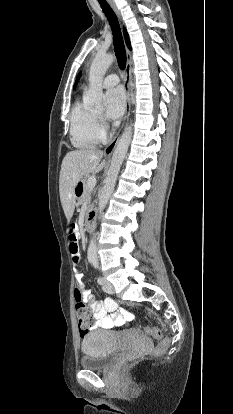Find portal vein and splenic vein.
<instances>
[{
    "label": "portal vein and splenic vein",
    "instance_id": "18ae733b",
    "mask_svg": "<svg viewBox=\"0 0 233 414\" xmlns=\"http://www.w3.org/2000/svg\"><path fill=\"white\" fill-rule=\"evenodd\" d=\"M87 184L89 187L93 188L96 185V178L93 177H89L87 180Z\"/></svg>",
    "mask_w": 233,
    "mask_h": 414
}]
</instances>
